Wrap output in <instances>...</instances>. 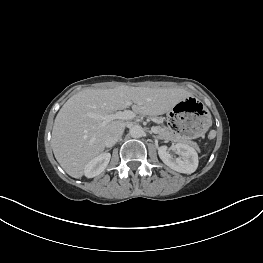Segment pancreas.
<instances>
[{
  "instance_id": "cf45deb5",
  "label": "pancreas",
  "mask_w": 263,
  "mask_h": 263,
  "mask_svg": "<svg viewBox=\"0 0 263 263\" xmlns=\"http://www.w3.org/2000/svg\"><path fill=\"white\" fill-rule=\"evenodd\" d=\"M156 128L158 131L159 138L183 142V143L189 144L190 146L198 149V144L196 142L191 141V140L184 138V137L177 136L176 134H174V131L171 128L161 127V126H157Z\"/></svg>"
}]
</instances>
